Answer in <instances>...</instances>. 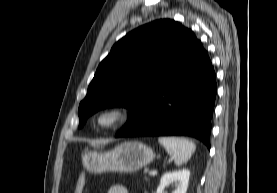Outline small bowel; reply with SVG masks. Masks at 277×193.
I'll use <instances>...</instances> for the list:
<instances>
[{
    "mask_svg": "<svg viewBox=\"0 0 277 193\" xmlns=\"http://www.w3.org/2000/svg\"><path fill=\"white\" fill-rule=\"evenodd\" d=\"M107 193H129L127 188L123 185H113L111 186Z\"/></svg>",
    "mask_w": 277,
    "mask_h": 193,
    "instance_id": "small-bowel-1",
    "label": "small bowel"
}]
</instances>
